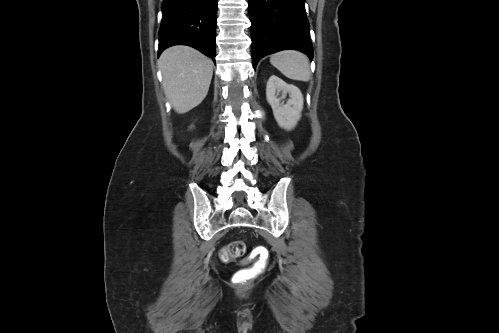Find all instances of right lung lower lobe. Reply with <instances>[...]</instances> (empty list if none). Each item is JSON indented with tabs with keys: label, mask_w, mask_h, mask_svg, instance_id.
Wrapping results in <instances>:
<instances>
[{
	"label": "right lung lower lobe",
	"mask_w": 499,
	"mask_h": 333,
	"mask_svg": "<svg viewBox=\"0 0 499 333\" xmlns=\"http://www.w3.org/2000/svg\"><path fill=\"white\" fill-rule=\"evenodd\" d=\"M217 0H164L158 56L173 45H188L215 62Z\"/></svg>",
	"instance_id": "obj_1"
}]
</instances>
